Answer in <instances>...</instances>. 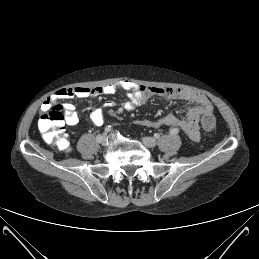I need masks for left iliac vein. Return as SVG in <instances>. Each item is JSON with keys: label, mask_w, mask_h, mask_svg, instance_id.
Returning a JSON list of instances; mask_svg holds the SVG:
<instances>
[{"label": "left iliac vein", "mask_w": 259, "mask_h": 259, "mask_svg": "<svg viewBox=\"0 0 259 259\" xmlns=\"http://www.w3.org/2000/svg\"><path fill=\"white\" fill-rule=\"evenodd\" d=\"M142 142L148 148H153L157 144L156 140L152 137H143Z\"/></svg>", "instance_id": "left-iliac-vein-1"}]
</instances>
